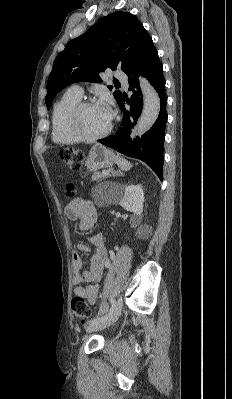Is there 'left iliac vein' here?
<instances>
[{"mask_svg": "<svg viewBox=\"0 0 232 399\" xmlns=\"http://www.w3.org/2000/svg\"><path fill=\"white\" fill-rule=\"evenodd\" d=\"M123 305H124L123 297L119 296L117 300V305L116 307H114V310L109 320L95 322V325H89V328L86 330H88L89 333H94L95 331H98V329L111 327L113 323H116L121 310H123Z\"/></svg>", "mask_w": 232, "mask_h": 399, "instance_id": "1", "label": "left iliac vein"}]
</instances>
